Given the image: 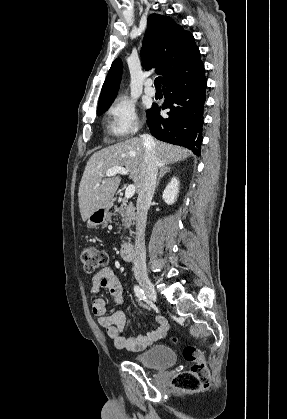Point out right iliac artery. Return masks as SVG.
Returning <instances> with one entry per match:
<instances>
[{
    "label": "right iliac artery",
    "mask_w": 287,
    "mask_h": 419,
    "mask_svg": "<svg viewBox=\"0 0 287 419\" xmlns=\"http://www.w3.org/2000/svg\"><path fill=\"white\" fill-rule=\"evenodd\" d=\"M134 292H135L136 296L139 298V300H144L146 298L145 294H144V291L137 285L134 286Z\"/></svg>",
    "instance_id": "right-iliac-artery-1"
}]
</instances>
